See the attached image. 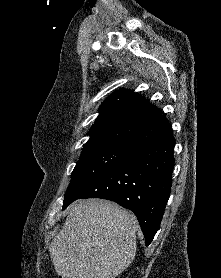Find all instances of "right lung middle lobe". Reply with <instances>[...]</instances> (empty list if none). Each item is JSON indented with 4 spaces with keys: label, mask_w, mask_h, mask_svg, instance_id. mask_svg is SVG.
Listing matches in <instances>:
<instances>
[{
    "label": "right lung middle lobe",
    "mask_w": 221,
    "mask_h": 278,
    "mask_svg": "<svg viewBox=\"0 0 221 278\" xmlns=\"http://www.w3.org/2000/svg\"><path fill=\"white\" fill-rule=\"evenodd\" d=\"M133 145L114 140H103L84 145L63 201V209L103 174L124 161Z\"/></svg>",
    "instance_id": "1"
}]
</instances>
